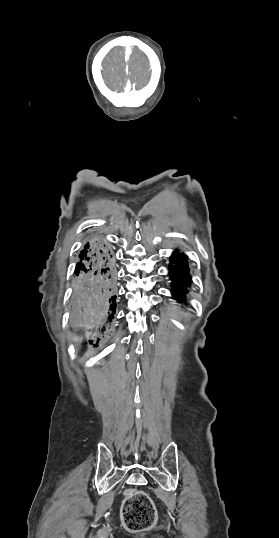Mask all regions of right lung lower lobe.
<instances>
[{"mask_svg": "<svg viewBox=\"0 0 279 538\" xmlns=\"http://www.w3.org/2000/svg\"><path fill=\"white\" fill-rule=\"evenodd\" d=\"M117 283L112 248L103 238L87 242L75 269L72 326L91 333L103 331L116 314Z\"/></svg>", "mask_w": 279, "mask_h": 538, "instance_id": "98d812e1", "label": "right lung lower lobe"}]
</instances>
